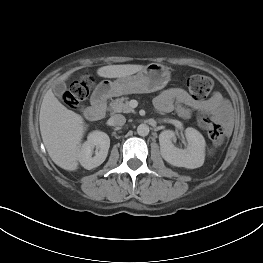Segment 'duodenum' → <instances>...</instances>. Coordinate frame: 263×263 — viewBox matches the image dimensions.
I'll return each instance as SVG.
<instances>
[{"instance_id": "410a0bca", "label": "duodenum", "mask_w": 263, "mask_h": 263, "mask_svg": "<svg viewBox=\"0 0 263 263\" xmlns=\"http://www.w3.org/2000/svg\"><path fill=\"white\" fill-rule=\"evenodd\" d=\"M108 89L99 87L92 96L91 106L87 108L85 116L90 121H98L106 114Z\"/></svg>"}]
</instances>
